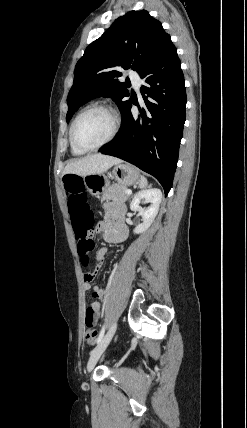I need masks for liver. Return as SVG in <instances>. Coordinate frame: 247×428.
<instances>
[{"label": "liver", "mask_w": 247, "mask_h": 428, "mask_svg": "<svg viewBox=\"0 0 247 428\" xmlns=\"http://www.w3.org/2000/svg\"><path fill=\"white\" fill-rule=\"evenodd\" d=\"M119 163H122V160L119 158L103 154H93L68 163L63 174H76L79 176L99 174Z\"/></svg>", "instance_id": "6515ba94"}]
</instances>
